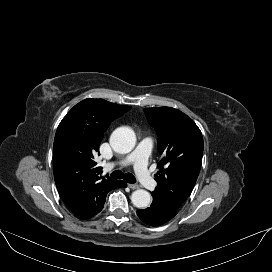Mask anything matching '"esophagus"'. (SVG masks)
I'll use <instances>...</instances> for the list:
<instances>
[{"label":"esophagus","mask_w":272,"mask_h":272,"mask_svg":"<svg viewBox=\"0 0 272 272\" xmlns=\"http://www.w3.org/2000/svg\"><path fill=\"white\" fill-rule=\"evenodd\" d=\"M128 187L135 190V189L139 188V185H137V184H128Z\"/></svg>","instance_id":"obj_1"}]
</instances>
